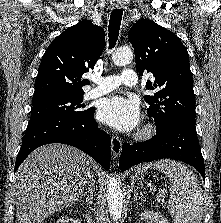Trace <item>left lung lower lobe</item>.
Wrapping results in <instances>:
<instances>
[{"label":"left lung lower lobe","instance_id":"obj_1","mask_svg":"<svg viewBox=\"0 0 221 223\" xmlns=\"http://www.w3.org/2000/svg\"><path fill=\"white\" fill-rule=\"evenodd\" d=\"M162 158L183 161L193 166L205 179V166L199 146L195 122L176 121L165 131L158 132L151 139L125 143L122 147L119 168L126 171L133 165Z\"/></svg>","mask_w":221,"mask_h":223}]
</instances>
